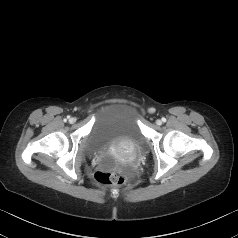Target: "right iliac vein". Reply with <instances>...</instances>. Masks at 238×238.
<instances>
[{
    "instance_id": "63e3f726",
    "label": "right iliac vein",
    "mask_w": 238,
    "mask_h": 238,
    "mask_svg": "<svg viewBox=\"0 0 238 238\" xmlns=\"http://www.w3.org/2000/svg\"><path fill=\"white\" fill-rule=\"evenodd\" d=\"M75 121H76L75 118H70V119H69V122H70V123H75Z\"/></svg>"
}]
</instances>
